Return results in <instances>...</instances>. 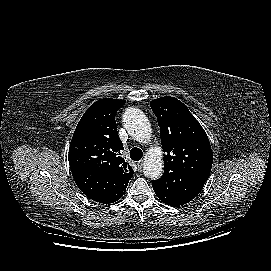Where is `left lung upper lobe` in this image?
Instances as JSON below:
<instances>
[{
	"instance_id": "obj_1",
	"label": "left lung upper lobe",
	"mask_w": 271,
	"mask_h": 271,
	"mask_svg": "<svg viewBox=\"0 0 271 271\" xmlns=\"http://www.w3.org/2000/svg\"><path fill=\"white\" fill-rule=\"evenodd\" d=\"M160 127L166 173L179 172L190 181L204 186L213 155L209 139L188 108L174 97L150 102Z\"/></svg>"
}]
</instances>
